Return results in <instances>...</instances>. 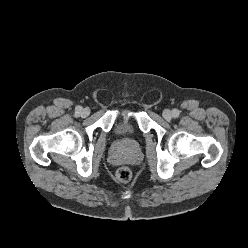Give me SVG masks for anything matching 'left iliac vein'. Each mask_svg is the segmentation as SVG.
Listing matches in <instances>:
<instances>
[{"label": "left iliac vein", "instance_id": "obj_1", "mask_svg": "<svg viewBox=\"0 0 248 248\" xmlns=\"http://www.w3.org/2000/svg\"><path fill=\"white\" fill-rule=\"evenodd\" d=\"M162 115H163L164 119H166V120H171L173 117V114L169 109H165L163 111Z\"/></svg>", "mask_w": 248, "mask_h": 248}]
</instances>
